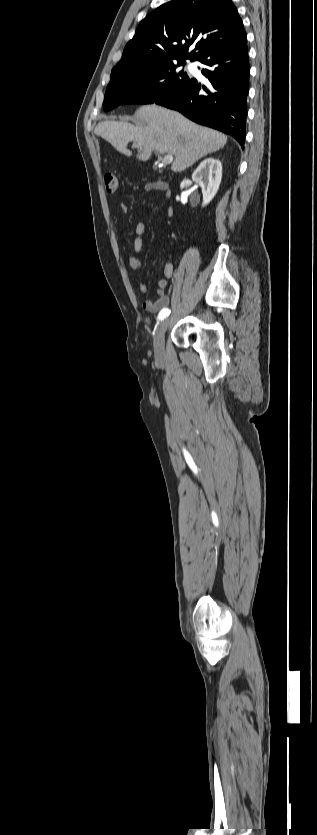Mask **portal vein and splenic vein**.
Returning <instances> with one entry per match:
<instances>
[{
	"mask_svg": "<svg viewBox=\"0 0 317 835\" xmlns=\"http://www.w3.org/2000/svg\"><path fill=\"white\" fill-rule=\"evenodd\" d=\"M173 158H174V157H173V155H171V154H166V155L164 156V158L162 159V163H164V164H169V163H171V162L173 161Z\"/></svg>",
	"mask_w": 317,
	"mask_h": 835,
	"instance_id": "1",
	"label": "portal vein and splenic vein"
}]
</instances>
